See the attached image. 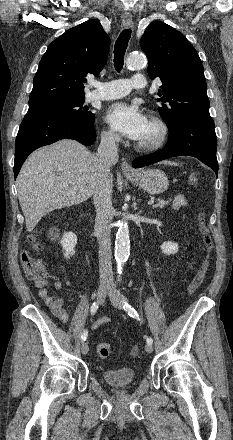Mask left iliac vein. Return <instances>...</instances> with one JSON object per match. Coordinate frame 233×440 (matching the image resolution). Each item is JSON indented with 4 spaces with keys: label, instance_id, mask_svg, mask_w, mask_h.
Masks as SVG:
<instances>
[{
    "label": "left iliac vein",
    "instance_id": "obj_1",
    "mask_svg": "<svg viewBox=\"0 0 233 440\" xmlns=\"http://www.w3.org/2000/svg\"><path fill=\"white\" fill-rule=\"evenodd\" d=\"M109 298L113 304L114 307L118 308V309H122L123 307V297L118 293V291L116 290V288L112 285L109 289L108 292ZM145 350L147 353H152L153 352V346L152 344H146L145 345Z\"/></svg>",
    "mask_w": 233,
    "mask_h": 440
}]
</instances>
